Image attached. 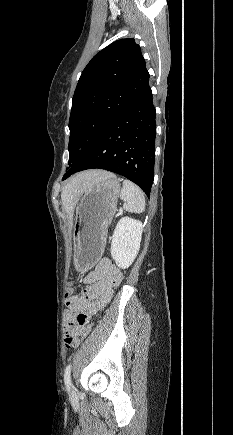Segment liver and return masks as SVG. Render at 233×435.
<instances>
[{
    "mask_svg": "<svg viewBox=\"0 0 233 435\" xmlns=\"http://www.w3.org/2000/svg\"><path fill=\"white\" fill-rule=\"evenodd\" d=\"M109 172L104 170H89L78 173L69 179L62 190V205L70 219L73 216L76 204L83 192L92 185L101 181Z\"/></svg>",
    "mask_w": 233,
    "mask_h": 435,
    "instance_id": "6515ba94",
    "label": "liver"
}]
</instances>
